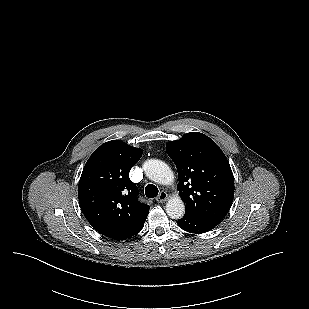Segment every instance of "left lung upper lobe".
I'll list each match as a JSON object with an SVG mask.
<instances>
[{"mask_svg":"<svg viewBox=\"0 0 309 309\" xmlns=\"http://www.w3.org/2000/svg\"><path fill=\"white\" fill-rule=\"evenodd\" d=\"M178 171V190L185 215L218 225L234 198V177L229 162L212 139L187 133L166 145Z\"/></svg>","mask_w":309,"mask_h":309,"instance_id":"5c2ea615","label":"left lung upper lobe"}]
</instances>
